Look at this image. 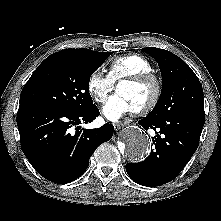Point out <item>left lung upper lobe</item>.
Listing matches in <instances>:
<instances>
[{"instance_id": "1", "label": "left lung upper lobe", "mask_w": 221, "mask_h": 221, "mask_svg": "<svg viewBox=\"0 0 221 221\" xmlns=\"http://www.w3.org/2000/svg\"><path fill=\"white\" fill-rule=\"evenodd\" d=\"M142 50L157 61L162 75L160 98L147 117L162 118L177 113H188L205 118L203 89L192 69L167 50L155 47Z\"/></svg>"}]
</instances>
